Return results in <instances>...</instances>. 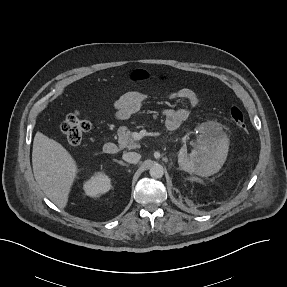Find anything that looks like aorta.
Listing matches in <instances>:
<instances>
[{
  "label": "aorta",
  "instance_id": "obj_1",
  "mask_svg": "<svg viewBox=\"0 0 287 287\" xmlns=\"http://www.w3.org/2000/svg\"><path fill=\"white\" fill-rule=\"evenodd\" d=\"M150 176L154 179H159L164 175V169L160 164H155L150 168Z\"/></svg>",
  "mask_w": 287,
  "mask_h": 287
}]
</instances>
